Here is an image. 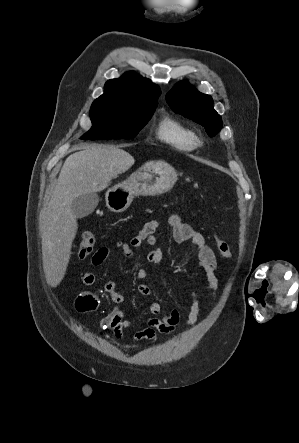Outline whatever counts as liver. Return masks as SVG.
<instances>
[{
  "label": "liver",
  "instance_id": "1",
  "mask_svg": "<svg viewBox=\"0 0 299 443\" xmlns=\"http://www.w3.org/2000/svg\"><path fill=\"white\" fill-rule=\"evenodd\" d=\"M134 158L117 146L92 145L68 156L44 214L42 259L46 282L57 287L71 256L78 224L71 210L80 195L96 193L126 172Z\"/></svg>",
  "mask_w": 299,
  "mask_h": 443
}]
</instances>
